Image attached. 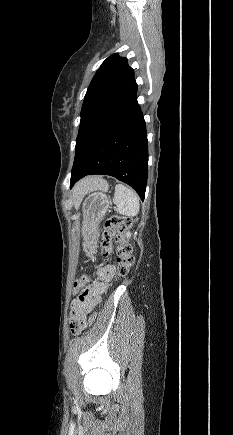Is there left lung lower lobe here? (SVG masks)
<instances>
[{
	"instance_id": "0a47b994",
	"label": "left lung lower lobe",
	"mask_w": 233,
	"mask_h": 435,
	"mask_svg": "<svg viewBox=\"0 0 233 435\" xmlns=\"http://www.w3.org/2000/svg\"><path fill=\"white\" fill-rule=\"evenodd\" d=\"M146 125L138 102L110 123L74 162L71 187L86 175H110L130 185L143 200L148 167Z\"/></svg>"
}]
</instances>
